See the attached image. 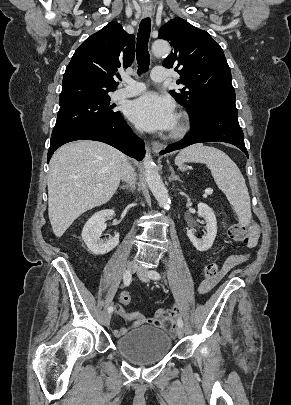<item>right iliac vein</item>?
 <instances>
[{
    "mask_svg": "<svg viewBox=\"0 0 291 405\" xmlns=\"http://www.w3.org/2000/svg\"><path fill=\"white\" fill-rule=\"evenodd\" d=\"M127 269H128L129 272L133 273V272H135V271L138 269V265H137V263H136L135 261H130V262L128 263V265H127ZM110 319H111V314H110L109 312H108V313H105V314L103 315V323H104L106 326L109 325Z\"/></svg>",
    "mask_w": 291,
    "mask_h": 405,
    "instance_id": "1",
    "label": "right iliac vein"
}]
</instances>
